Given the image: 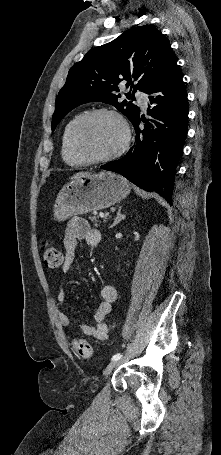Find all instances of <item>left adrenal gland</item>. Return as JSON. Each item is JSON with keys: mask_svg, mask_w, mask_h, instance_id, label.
<instances>
[{"mask_svg": "<svg viewBox=\"0 0 221 455\" xmlns=\"http://www.w3.org/2000/svg\"><path fill=\"white\" fill-rule=\"evenodd\" d=\"M126 217L125 214H121V207L118 208V211H117V214H116V217L114 219V222L113 224L110 226V228L116 226L118 223L121 222V220H124Z\"/></svg>", "mask_w": 221, "mask_h": 455, "instance_id": "obj_1", "label": "left adrenal gland"}]
</instances>
